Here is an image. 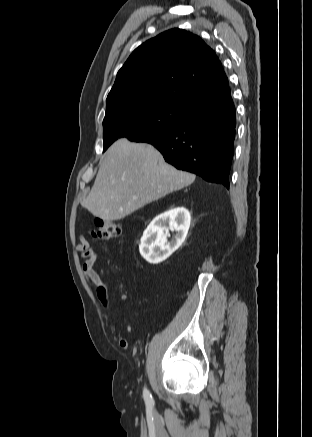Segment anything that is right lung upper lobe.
I'll list each match as a JSON object with an SVG mask.
<instances>
[{"label": "right lung upper lobe", "mask_w": 312, "mask_h": 437, "mask_svg": "<svg viewBox=\"0 0 312 437\" xmlns=\"http://www.w3.org/2000/svg\"><path fill=\"white\" fill-rule=\"evenodd\" d=\"M228 88L215 52L197 35L172 29L133 51L107 96L106 114L141 102L169 103L191 111Z\"/></svg>", "instance_id": "cb5924a9"}]
</instances>
